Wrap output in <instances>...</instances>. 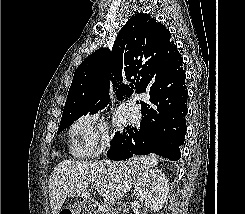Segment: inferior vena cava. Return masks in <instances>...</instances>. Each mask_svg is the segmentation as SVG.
Returning a JSON list of instances; mask_svg holds the SVG:
<instances>
[{"instance_id": "1", "label": "inferior vena cava", "mask_w": 245, "mask_h": 214, "mask_svg": "<svg viewBox=\"0 0 245 214\" xmlns=\"http://www.w3.org/2000/svg\"><path fill=\"white\" fill-rule=\"evenodd\" d=\"M108 146H109V143H108V142H107V143L105 142V143H103V145H102L104 156H106V151H107ZM104 161H105V163H106L109 167H113V163H112L110 160L105 159Z\"/></svg>"}]
</instances>
